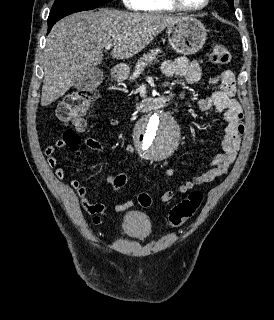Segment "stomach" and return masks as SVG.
<instances>
[{
  "mask_svg": "<svg viewBox=\"0 0 274 320\" xmlns=\"http://www.w3.org/2000/svg\"><path fill=\"white\" fill-rule=\"evenodd\" d=\"M205 40H207L206 28L202 22L191 16H184L176 20L172 26H168V42L176 54H183V56L197 54L203 48ZM112 74L123 78L124 66H115Z\"/></svg>",
  "mask_w": 274,
  "mask_h": 320,
  "instance_id": "0dacf381",
  "label": "stomach"
}]
</instances>
